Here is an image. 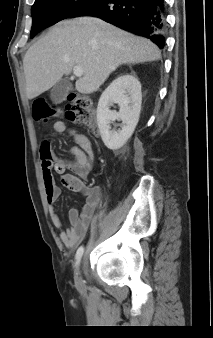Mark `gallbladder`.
<instances>
[{
    "label": "gallbladder",
    "instance_id": "1",
    "mask_svg": "<svg viewBox=\"0 0 213 338\" xmlns=\"http://www.w3.org/2000/svg\"><path fill=\"white\" fill-rule=\"evenodd\" d=\"M72 90V84L67 79H61L50 91V97L54 103H61Z\"/></svg>",
    "mask_w": 213,
    "mask_h": 338
}]
</instances>
